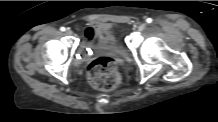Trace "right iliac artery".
<instances>
[{
	"label": "right iliac artery",
	"mask_w": 218,
	"mask_h": 122,
	"mask_svg": "<svg viewBox=\"0 0 218 122\" xmlns=\"http://www.w3.org/2000/svg\"><path fill=\"white\" fill-rule=\"evenodd\" d=\"M60 30H61V31H65V27H61Z\"/></svg>",
	"instance_id": "1"
}]
</instances>
